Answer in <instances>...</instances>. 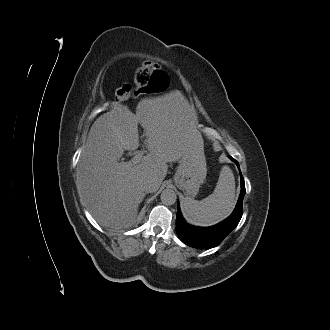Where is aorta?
Here are the masks:
<instances>
[{"label":"aorta","instance_id":"aorta-1","mask_svg":"<svg viewBox=\"0 0 330 330\" xmlns=\"http://www.w3.org/2000/svg\"><path fill=\"white\" fill-rule=\"evenodd\" d=\"M160 198L164 205H173L177 200V195L174 190L167 188L162 191Z\"/></svg>","mask_w":330,"mask_h":330}]
</instances>
